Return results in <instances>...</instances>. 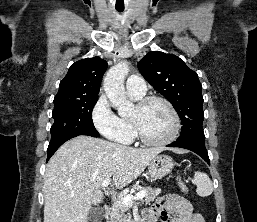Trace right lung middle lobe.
I'll return each instance as SVG.
<instances>
[{
	"mask_svg": "<svg viewBox=\"0 0 257 222\" xmlns=\"http://www.w3.org/2000/svg\"><path fill=\"white\" fill-rule=\"evenodd\" d=\"M98 96H87L80 99L54 102L51 127V141L54 143L63 138L74 135H88L99 137L92 121V110Z\"/></svg>",
	"mask_w": 257,
	"mask_h": 222,
	"instance_id": "dd1d6c3e",
	"label": "right lung middle lobe"
}]
</instances>
